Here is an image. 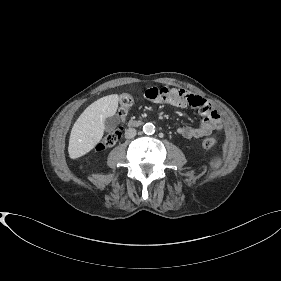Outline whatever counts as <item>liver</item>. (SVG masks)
I'll list each match as a JSON object with an SVG mask.
<instances>
[{
  "label": "liver",
  "instance_id": "1",
  "mask_svg": "<svg viewBox=\"0 0 281 281\" xmlns=\"http://www.w3.org/2000/svg\"><path fill=\"white\" fill-rule=\"evenodd\" d=\"M119 96L111 94L89 105L74 123L71 130L68 153L71 159L90 152L102 139L105 119L115 115Z\"/></svg>",
  "mask_w": 281,
  "mask_h": 281
}]
</instances>
